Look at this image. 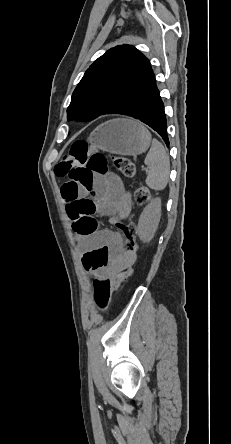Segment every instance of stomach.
<instances>
[{
  "mask_svg": "<svg viewBox=\"0 0 231 444\" xmlns=\"http://www.w3.org/2000/svg\"><path fill=\"white\" fill-rule=\"evenodd\" d=\"M88 142L109 153L136 156L149 148L151 134L139 122L119 118L99 125L91 133Z\"/></svg>",
  "mask_w": 231,
  "mask_h": 444,
  "instance_id": "obj_1",
  "label": "stomach"
}]
</instances>
